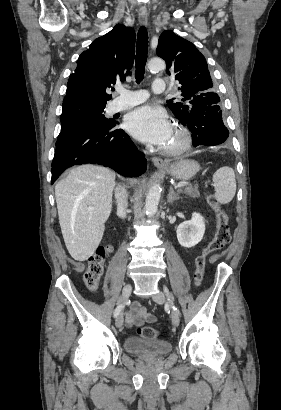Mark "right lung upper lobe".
Listing matches in <instances>:
<instances>
[{
	"label": "right lung upper lobe",
	"mask_w": 281,
	"mask_h": 410,
	"mask_svg": "<svg viewBox=\"0 0 281 410\" xmlns=\"http://www.w3.org/2000/svg\"><path fill=\"white\" fill-rule=\"evenodd\" d=\"M135 32L130 27L116 25L97 38L77 61L70 75L63 107L75 104L105 106L111 99L106 89L117 80L124 81L133 66Z\"/></svg>",
	"instance_id": "obj_1"
}]
</instances>
